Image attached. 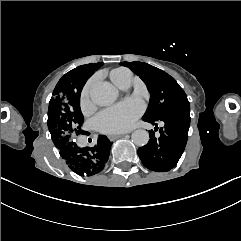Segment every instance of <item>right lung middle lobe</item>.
Segmentation results:
<instances>
[{"mask_svg":"<svg viewBox=\"0 0 241 241\" xmlns=\"http://www.w3.org/2000/svg\"><path fill=\"white\" fill-rule=\"evenodd\" d=\"M103 63L79 66L66 73L57 83L48 109V129L59 149L75 144V137L87 132L81 129L84 121L80 110V93L88 78Z\"/></svg>","mask_w":241,"mask_h":241,"instance_id":"right-lung-middle-lobe-1","label":"right lung middle lobe"}]
</instances>
